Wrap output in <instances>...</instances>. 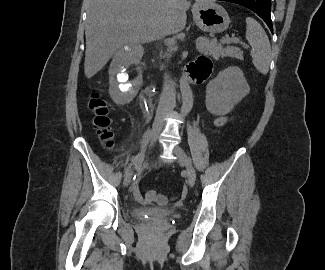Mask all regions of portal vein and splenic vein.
Here are the masks:
<instances>
[{
	"instance_id": "portal-vein-and-splenic-vein-1",
	"label": "portal vein and splenic vein",
	"mask_w": 325,
	"mask_h": 270,
	"mask_svg": "<svg viewBox=\"0 0 325 270\" xmlns=\"http://www.w3.org/2000/svg\"><path fill=\"white\" fill-rule=\"evenodd\" d=\"M199 39L196 40V43L198 44ZM223 43H240L238 38H229V39H224L222 40Z\"/></svg>"
}]
</instances>
